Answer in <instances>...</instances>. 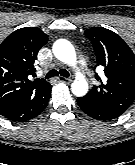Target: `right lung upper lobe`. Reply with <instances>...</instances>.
Segmentation results:
<instances>
[{"mask_svg":"<svg viewBox=\"0 0 135 165\" xmlns=\"http://www.w3.org/2000/svg\"><path fill=\"white\" fill-rule=\"evenodd\" d=\"M47 35L36 27L14 31L0 44V106L11 101L37 99L51 91L45 79L30 80L35 76V60Z\"/></svg>","mask_w":135,"mask_h":165,"instance_id":"right-lung-upper-lobe-1","label":"right lung upper lobe"}]
</instances>
